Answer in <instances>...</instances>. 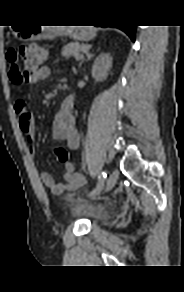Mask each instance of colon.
<instances>
[{"instance_id": "5ec220e1", "label": "colon", "mask_w": 184, "mask_h": 292, "mask_svg": "<svg viewBox=\"0 0 184 292\" xmlns=\"http://www.w3.org/2000/svg\"><path fill=\"white\" fill-rule=\"evenodd\" d=\"M7 60L10 64V80L14 84H20L29 80L43 65L46 51L37 45L26 44L18 49H11L7 54ZM53 156L59 163H66L68 160L67 151L61 147L53 150Z\"/></svg>"}]
</instances>
